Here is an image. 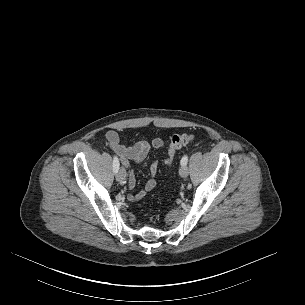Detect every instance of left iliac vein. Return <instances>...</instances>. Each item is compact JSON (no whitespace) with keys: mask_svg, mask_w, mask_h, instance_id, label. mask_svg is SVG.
Returning a JSON list of instances; mask_svg holds the SVG:
<instances>
[{"mask_svg":"<svg viewBox=\"0 0 305 305\" xmlns=\"http://www.w3.org/2000/svg\"><path fill=\"white\" fill-rule=\"evenodd\" d=\"M180 176L183 178H186L188 176V168L186 167V165H182L180 170H179Z\"/></svg>","mask_w":305,"mask_h":305,"instance_id":"4c4485c4","label":"left iliac vein"}]
</instances>
